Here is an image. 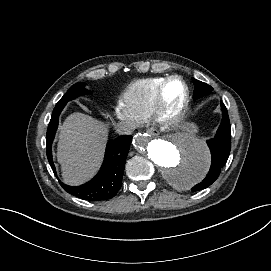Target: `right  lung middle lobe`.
<instances>
[{
    "instance_id": "obj_1",
    "label": "right lung middle lobe",
    "mask_w": 271,
    "mask_h": 271,
    "mask_svg": "<svg viewBox=\"0 0 271 271\" xmlns=\"http://www.w3.org/2000/svg\"><path fill=\"white\" fill-rule=\"evenodd\" d=\"M84 85V83H76L72 85L56 106L65 105L68 101L73 100L77 96L90 93V91L84 88Z\"/></svg>"
}]
</instances>
